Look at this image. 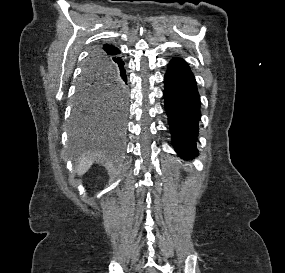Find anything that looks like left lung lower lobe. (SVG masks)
Instances as JSON below:
<instances>
[{"mask_svg":"<svg viewBox=\"0 0 285 273\" xmlns=\"http://www.w3.org/2000/svg\"><path fill=\"white\" fill-rule=\"evenodd\" d=\"M164 83L165 109L175 150L184 158L196 156L201 114L194 75L185 61L175 58L168 66Z\"/></svg>","mask_w":285,"mask_h":273,"instance_id":"left-lung-lower-lobe-1","label":"left lung lower lobe"}]
</instances>
